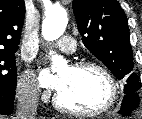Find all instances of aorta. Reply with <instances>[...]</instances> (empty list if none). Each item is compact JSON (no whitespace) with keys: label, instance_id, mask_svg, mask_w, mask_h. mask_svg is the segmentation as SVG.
<instances>
[{"label":"aorta","instance_id":"762f6f07","mask_svg":"<svg viewBox=\"0 0 142 119\" xmlns=\"http://www.w3.org/2000/svg\"><path fill=\"white\" fill-rule=\"evenodd\" d=\"M66 26V10L60 6L52 7L45 13V19L42 23V36L48 41L56 40L64 33ZM50 55L52 56L51 70L53 72L66 65V61L63 57L56 55L53 52H50Z\"/></svg>","mask_w":142,"mask_h":119}]
</instances>
